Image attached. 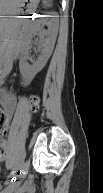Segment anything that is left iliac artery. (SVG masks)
<instances>
[{
    "instance_id": "1",
    "label": "left iliac artery",
    "mask_w": 103,
    "mask_h": 193,
    "mask_svg": "<svg viewBox=\"0 0 103 193\" xmlns=\"http://www.w3.org/2000/svg\"><path fill=\"white\" fill-rule=\"evenodd\" d=\"M25 156H26V152H25V149H23L9 176V179L5 182L6 185L11 184L13 181H15L17 175L20 173V169L24 162Z\"/></svg>"
}]
</instances>
